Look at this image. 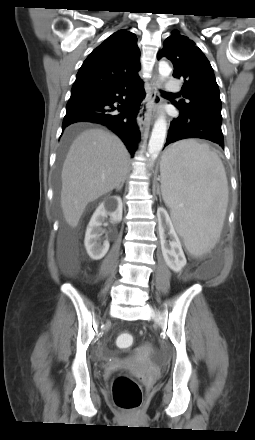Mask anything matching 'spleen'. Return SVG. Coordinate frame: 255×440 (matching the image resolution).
<instances>
[{"label":"spleen","mask_w":255,"mask_h":440,"mask_svg":"<svg viewBox=\"0 0 255 440\" xmlns=\"http://www.w3.org/2000/svg\"><path fill=\"white\" fill-rule=\"evenodd\" d=\"M161 191L188 251L200 256L217 243L228 205V183L218 155L206 144L182 141L167 151Z\"/></svg>","instance_id":"3e777b00"}]
</instances>
